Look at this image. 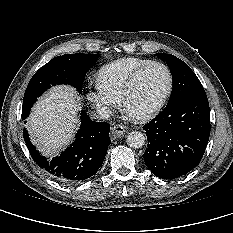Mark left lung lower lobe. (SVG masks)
<instances>
[{
    "mask_svg": "<svg viewBox=\"0 0 233 233\" xmlns=\"http://www.w3.org/2000/svg\"><path fill=\"white\" fill-rule=\"evenodd\" d=\"M143 129L147 148L142 155L155 176L175 179L191 171L203 157L210 135L207 98L169 103Z\"/></svg>",
    "mask_w": 233,
    "mask_h": 233,
    "instance_id": "obj_1",
    "label": "left lung lower lobe"
}]
</instances>
